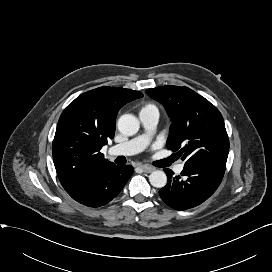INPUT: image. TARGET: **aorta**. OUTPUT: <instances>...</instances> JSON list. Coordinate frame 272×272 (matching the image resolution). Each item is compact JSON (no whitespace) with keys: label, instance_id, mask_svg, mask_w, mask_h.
<instances>
[{"label":"aorta","instance_id":"1","mask_svg":"<svg viewBox=\"0 0 272 272\" xmlns=\"http://www.w3.org/2000/svg\"><path fill=\"white\" fill-rule=\"evenodd\" d=\"M118 130L127 136L135 135L140 127L138 119L132 114H124L118 120ZM150 184L156 188H162L167 183V176L163 171H153L149 176Z\"/></svg>","mask_w":272,"mask_h":272}]
</instances>
